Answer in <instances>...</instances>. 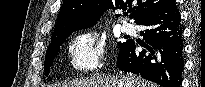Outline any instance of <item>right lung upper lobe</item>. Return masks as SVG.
<instances>
[{
  "instance_id": "cb5924a9",
  "label": "right lung upper lobe",
  "mask_w": 205,
  "mask_h": 87,
  "mask_svg": "<svg viewBox=\"0 0 205 87\" xmlns=\"http://www.w3.org/2000/svg\"><path fill=\"white\" fill-rule=\"evenodd\" d=\"M169 0H137L131 15L136 23L164 6ZM132 0H64L51 41L78 29L93 26L109 8L126 10ZM119 15H116L118 17Z\"/></svg>"
}]
</instances>
